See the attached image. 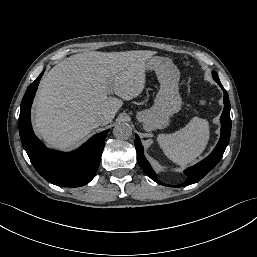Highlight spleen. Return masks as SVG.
<instances>
[{
    "mask_svg": "<svg viewBox=\"0 0 257 257\" xmlns=\"http://www.w3.org/2000/svg\"><path fill=\"white\" fill-rule=\"evenodd\" d=\"M210 138L209 123L194 117L182 129L161 134L158 142L164 154L174 163L185 166L196 160L205 150Z\"/></svg>",
    "mask_w": 257,
    "mask_h": 257,
    "instance_id": "obj_1",
    "label": "spleen"
}]
</instances>
